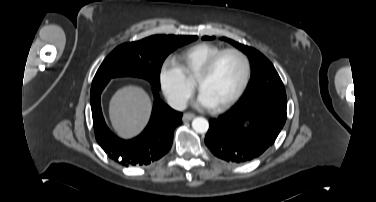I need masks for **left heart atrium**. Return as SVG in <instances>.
Listing matches in <instances>:
<instances>
[{
    "label": "left heart atrium",
    "instance_id": "39dd6f15",
    "mask_svg": "<svg viewBox=\"0 0 376 202\" xmlns=\"http://www.w3.org/2000/svg\"><path fill=\"white\" fill-rule=\"evenodd\" d=\"M197 105L201 107H213L212 102L209 100L206 94L203 93L202 91H200Z\"/></svg>",
    "mask_w": 376,
    "mask_h": 202
}]
</instances>
